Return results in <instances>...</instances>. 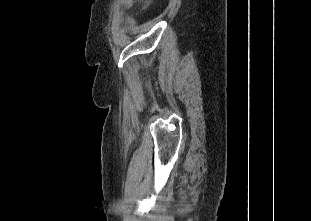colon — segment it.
<instances>
[{"label":"colon","instance_id":"1","mask_svg":"<svg viewBox=\"0 0 311 221\" xmlns=\"http://www.w3.org/2000/svg\"><path fill=\"white\" fill-rule=\"evenodd\" d=\"M154 0H145V6H150L153 3ZM123 7L124 8H133L134 7V2L133 1H124L123 2Z\"/></svg>","mask_w":311,"mask_h":221}]
</instances>
